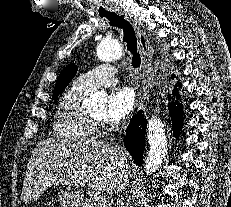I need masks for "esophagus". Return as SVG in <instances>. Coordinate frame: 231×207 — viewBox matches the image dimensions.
<instances>
[{"label": "esophagus", "mask_w": 231, "mask_h": 207, "mask_svg": "<svg viewBox=\"0 0 231 207\" xmlns=\"http://www.w3.org/2000/svg\"><path fill=\"white\" fill-rule=\"evenodd\" d=\"M120 16L125 17L134 27L138 43H139V50L143 59V65L144 68H149L152 64L153 59V49L150 44V41L148 39V36L146 33L141 29L140 25L137 23V21L130 15L125 14L122 11L117 12Z\"/></svg>", "instance_id": "esophagus-1"}]
</instances>
